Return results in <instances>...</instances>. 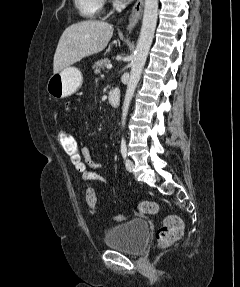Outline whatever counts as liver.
<instances>
[{
  "instance_id": "obj_1",
  "label": "liver",
  "mask_w": 240,
  "mask_h": 287,
  "mask_svg": "<svg viewBox=\"0 0 240 287\" xmlns=\"http://www.w3.org/2000/svg\"><path fill=\"white\" fill-rule=\"evenodd\" d=\"M113 30L111 24L100 20L81 21L67 27L55 51L53 73L102 51L110 41Z\"/></svg>"
}]
</instances>
